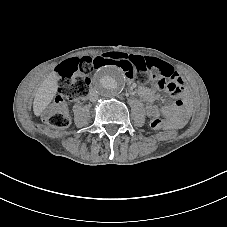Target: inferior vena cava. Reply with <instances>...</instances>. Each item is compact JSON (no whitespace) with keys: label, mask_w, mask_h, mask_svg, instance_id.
<instances>
[{"label":"inferior vena cava","mask_w":227,"mask_h":227,"mask_svg":"<svg viewBox=\"0 0 227 227\" xmlns=\"http://www.w3.org/2000/svg\"><path fill=\"white\" fill-rule=\"evenodd\" d=\"M98 92L94 89H90L89 94H88V98L91 102L97 101L98 99Z\"/></svg>","instance_id":"obj_1"}]
</instances>
